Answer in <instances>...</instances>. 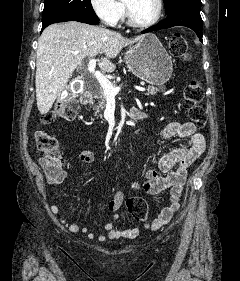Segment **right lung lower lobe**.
Listing matches in <instances>:
<instances>
[{"label": "right lung lower lobe", "instance_id": "1", "mask_svg": "<svg viewBox=\"0 0 240 281\" xmlns=\"http://www.w3.org/2000/svg\"><path fill=\"white\" fill-rule=\"evenodd\" d=\"M65 21H78V22H82V23L96 25L99 23V18L98 17L97 18H77V17H73V16L58 17V18H55V19L49 21L46 24H43L41 31H43L48 25H50L52 23L65 22Z\"/></svg>", "mask_w": 240, "mask_h": 281}]
</instances>
